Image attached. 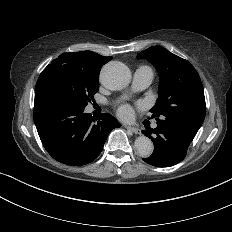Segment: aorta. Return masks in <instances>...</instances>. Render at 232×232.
<instances>
[{
	"label": "aorta",
	"mask_w": 232,
	"mask_h": 232,
	"mask_svg": "<svg viewBox=\"0 0 232 232\" xmlns=\"http://www.w3.org/2000/svg\"><path fill=\"white\" fill-rule=\"evenodd\" d=\"M102 84L110 90H121L129 85L131 72L129 68L118 61H110L105 64L100 73ZM134 146L141 157H149L154 149L153 142L146 136H139Z\"/></svg>",
	"instance_id": "obj_1"
}]
</instances>
